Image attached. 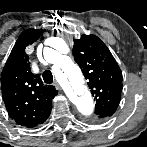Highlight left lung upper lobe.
Listing matches in <instances>:
<instances>
[{"mask_svg": "<svg viewBox=\"0 0 147 147\" xmlns=\"http://www.w3.org/2000/svg\"><path fill=\"white\" fill-rule=\"evenodd\" d=\"M74 60L88 79L96 101L94 116H112L121 98L122 71L108 47L95 35H82L74 40Z\"/></svg>", "mask_w": 147, "mask_h": 147, "instance_id": "1", "label": "left lung upper lobe"}]
</instances>
